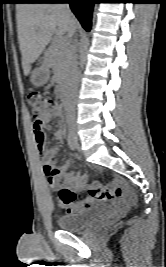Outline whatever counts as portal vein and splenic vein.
Masks as SVG:
<instances>
[{
	"mask_svg": "<svg viewBox=\"0 0 166 267\" xmlns=\"http://www.w3.org/2000/svg\"><path fill=\"white\" fill-rule=\"evenodd\" d=\"M57 41L62 42V40L58 39Z\"/></svg>",
	"mask_w": 166,
	"mask_h": 267,
	"instance_id": "18ae733b",
	"label": "portal vein and splenic vein"
}]
</instances>
